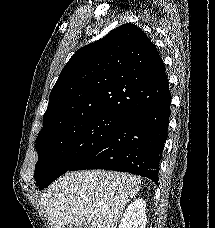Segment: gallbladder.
I'll return each instance as SVG.
<instances>
[{
	"instance_id": "1",
	"label": "gallbladder",
	"mask_w": 215,
	"mask_h": 228,
	"mask_svg": "<svg viewBox=\"0 0 215 228\" xmlns=\"http://www.w3.org/2000/svg\"><path fill=\"white\" fill-rule=\"evenodd\" d=\"M72 228H76V226H72Z\"/></svg>"
}]
</instances>
